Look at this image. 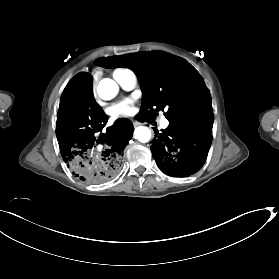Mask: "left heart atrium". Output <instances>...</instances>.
<instances>
[{
  "instance_id": "obj_1",
  "label": "left heart atrium",
  "mask_w": 279,
  "mask_h": 279,
  "mask_svg": "<svg viewBox=\"0 0 279 279\" xmlns=\"http://www.w3.org/2000/svg\"><path fill=\"white\" fill-rule=\"evenodd\" d=\"M136 113V107L134 100L131 98L125 99L124 101L114 105L110 109V115L113 119L121 117H130Z\"/></svg>"
}]
</instances>
